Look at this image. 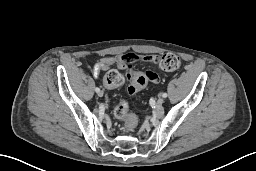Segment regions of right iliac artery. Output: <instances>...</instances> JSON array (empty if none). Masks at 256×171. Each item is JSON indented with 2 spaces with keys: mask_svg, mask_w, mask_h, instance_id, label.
Instances as JSON below:
<instances>
[{
  "mask_svg": "<svg viewBox=\"0 0 256 171\" xmlns=\"http://www.w3.org/2000/svg\"><path fill=\"white\" fill-rule=\"evenodd\" d=\"M95 91L98 93L100 91V89L98 87H96Z\"/></svg>",
  "mask_w": 256,
  "mask_h": 171,
  "instance_id": "82829eb1",
  "label": "right iliac artery"
}]
</instances>
